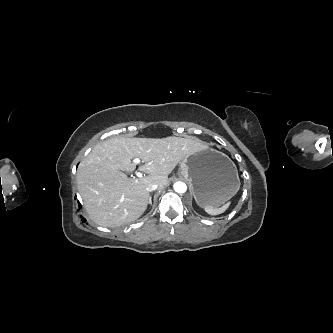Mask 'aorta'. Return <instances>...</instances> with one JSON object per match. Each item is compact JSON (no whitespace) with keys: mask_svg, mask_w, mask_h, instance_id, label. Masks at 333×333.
<instances>
[{"mask_svg":"<svg viewBox=\"0 0 333 333\" xmlns=\"http://www.w3.org/2000/svg\"><path fill=\"white\" fill-rule=\"evenodd\" d=\"M173 187L177 193H185L187 190V186L184 182H176Z\"/></svg>","mask_w":333,"mask_h":333,"instance_id":"obj_1","label":"aorta"}]
</instances>
